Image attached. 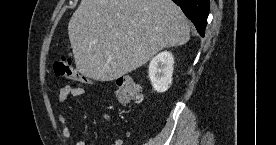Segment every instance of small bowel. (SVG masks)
<instances>
[{"label":"small bowel","instance_id":"c3829d8e","mask_svg":"<svg viewBox=\"0 0 276 145\" xmlns=\"http://www.w3.org/2000/svg\"><path fill=\"white\" fill-rule=\"evenodd\" d=\"M85 93L86 89L84 87H74L71 85H65L61 88L58 94L54 108L57 119L59 123L62 125V135L65 138H69L71 136V129L68 125V120L64 112L63 105L69 97H78L84 95ZM104 119L107 122L109 121L108 116H105ZM111 139L113 141V145H123V141L120 138L116 136H111ZM76 145H87V143H85L84 141H80Z\"/></svg>","mask_w":276,"mask_h":145}]
</instances>
